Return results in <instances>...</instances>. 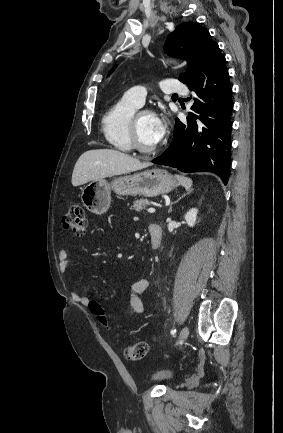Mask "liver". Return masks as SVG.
<instances>
[{"mask_svg":"<svg viewBox=\"0 0 283 433\" xmlns=\"http://www.w3.org/2000/svg\"><path fill=\"white\" fill-rule=\"evenodd\" d=\"M151 162H140L120 150L112 148H97V150H86L79 156L72 172L73 186L85 184L89 180L105 178L113 174H125L150 166Z\"/></svg>","mask_w":283,"mask_h":433,"instance_id":"6515ba94","label":"liver"}]
</instances>
